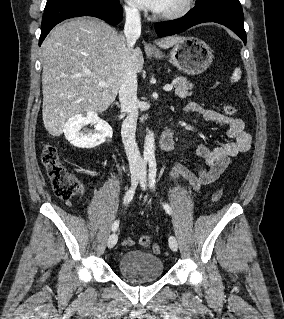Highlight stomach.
<instances>
[{
	"label": "stomach",
	"mask_w": 284,
	"mask_h": 319,
	"mask_svg": "<svg viewBox=\"0 0 284 319\" xmlns=\"http://www.w3.org/2000/svg\"><path fill=\"white\" fill-rule=\"evenodd\" d=\"M155 58L163 55L154 53ZM213 59L212 50L204 41L196 37H182L171 52L169 61L188 75H197L205 71Z\"/></svg>",
	"instance_id": "1"
}]
</instances>
